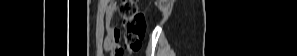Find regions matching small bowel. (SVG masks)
Segmentation results:
<instances>
[{
	"instance_id": "small-bowel-1",
	"label": "small bowel",
	"mask_w": 297,
	"mask_h": 56,
	"mask_svg": "<svg viewBox=\"0 0 297 56\" xmlns=\"http://www.w3.org/2000/svg\"><path fill=\"white\" fill-rule=\"evenodd\" d=\"M114 10V4H109L107 6L105 17L106 36L103 41V47L105 51H107L111 55H115V52L121 49L119 44L121 31L118 28L112 26Z\"/></svg>"
}]
</instances>
